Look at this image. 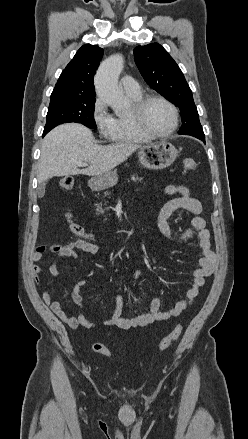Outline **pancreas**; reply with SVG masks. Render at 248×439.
<instances>
[{
  "label": "pancreas",
  "mask_w": 248,
  "mask_h": 439,
  "mask_svg": "<svg viewBox=\"0 0 248 439\" xmlns=\"http://www.w3.org/2000/svg\"><path fill=\"white\" fill-rule=\"evenodd\" d=\"M132 180H139V181H141L142 180V178H139L138 176H133L132 177ZM105 195H108L109 194V192L108 191H106L105 193H104Z\"/></svg>",
  "instance_id": "1"
}]
</instances>
